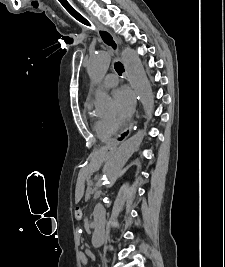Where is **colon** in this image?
<instances>
[{
    "instance_id": "5ec220e1",
    "label": "colon",
    "mask_w": 225,
    "mask_h": 267,
    "mask_svg": "<svg viewBox=\"0 0 225 267\" xmlns=\"http://www.w3.org/2000/svg\"><path fill=\"white\" fill-rule=\"evenodd\" d=\"M61 7L68 13V14H74L76 9L74 8L73 5L69 4L68 2L67 3H64L63 1L64 0H58ZM74 9V10H73ZM70 14V15H71ZM72 16V15H71ZM74 216H75V219L76 220H81L82 218V210L80 208H76L75 211H74Z\"/></svg>"
}]
</instances>
